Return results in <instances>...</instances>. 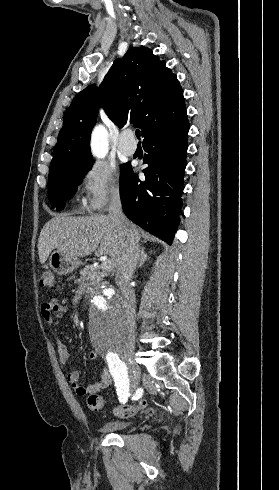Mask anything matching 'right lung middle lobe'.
<instances>
[{"instance_id":"dd1d6c3e","label":"right lung middle lobe","mask_w":279,"mask_h":490,"mask_svg":"<svg viewBox=\"0 0 279 490\" xmlns=\"http://www.w3.org/2000/svg\"><path fill=\"white\" fill-rule=\"evenodd\" d=\"M91 162L92 160L67 168L49 177L48 193L52 207H56L58 211L63 209L66 200L73 196L84 174L92 167ZM129 168L128 163L123 165L124 172L121 175V181Z\"/></svg>"}]
</instances>
